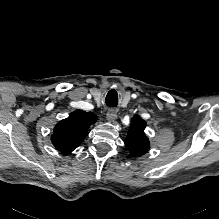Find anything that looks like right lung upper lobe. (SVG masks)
<instances>
[{
  "instance_id": "1",
  "label": "right lung upper lobe",
  "mask_w": 219,
  "mask_h": 219,
  "mask_svg": "<svg viewBox=\"0 0 219 219\" xmlns=\"http://www.w3.org/2000/svg\"><path fill=\"white\" fill-rule=\"evenodd\" d=\"M94 113L76 110L69 117L61 120L54 128L52 144L64 154L71 153L88 135V127L95 123Z\"/></svg>"
}]
</instances>
